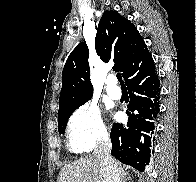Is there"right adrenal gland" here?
I'll use <instances>...</instances> for the list:
<instances>
[{"label":"right adrenal gland","mask_w":196,"mask_h":182,"mask_svg":"<svg viewBox=\"0 0 196 182\" xmlns=\"http://www.w3.org/2000/svg\"><path fill=\"white\" fill-rule=\"evenodd\" d=\"M121 182H127V180L126 179H124L123 181H121Z\"/></svg>","instance_id":"1"}]
</instances>
